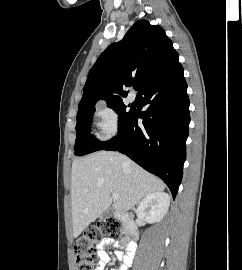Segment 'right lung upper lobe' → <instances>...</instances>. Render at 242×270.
<instances>
[{"label":"right lung upper lobe","mask_w":242,"mask_h":270,"mask_svg":"<svg viewBox=\"0 0 242 270\" xmlns=\"http://www.w3.org/2000/svg\"><path fill=\"white\" fill-rule=\"evenodd\" d=\"M178 53L165 31L147 20L137 21L123 40L111 44L91 68L85 83L79 110L122 100L126 87L139 84V92L156 75L178 60Z\"/></svg>","instance_id":"cb5924a9"}]
</instances>
